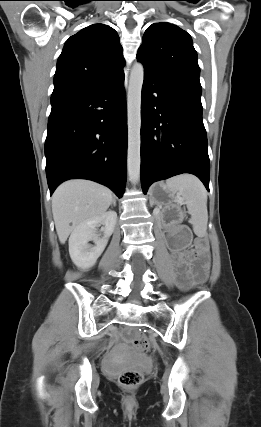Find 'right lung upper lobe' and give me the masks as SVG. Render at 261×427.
<instances>
[{
	"mask_svg": "<svg viewBox=\"0 0 261 427\" xmlns=\"http://www.w3.org/2000/svg\"><path fill=\"white\" fill-rule=\"evenodd\" d=\"M122 46L108 25L93 24L71 36L57 61L51 104L124 76Z\"/></svg>",
	"mask_w": 261,
	"mask_h": 427,
	"instance_id": "1",
	"label": "right lung upper lobe"
}]
</instances>
